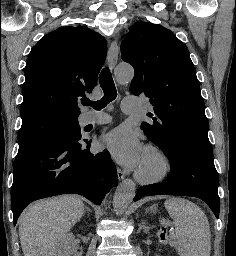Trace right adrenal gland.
Listing matches in <instances>:
<instances>
[{
	"label": "right adrenal gland",
	"mask_w": 236,
	"mask_h": 256,
	"mask_svg": "<svg viewBox=\"0 0 236 256\" xmlns=\"http://www.w3.org/2000/svg\"><path fill=\"white\" fill-rule=\"evenodd\" d=\"M87 212H90L89 208H86Z\"/></svg>",
	"instance_id": "2a0ac1e0"
}]
</instances>
